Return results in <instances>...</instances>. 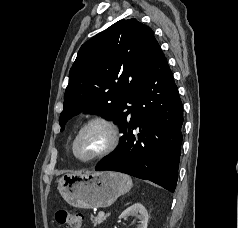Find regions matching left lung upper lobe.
Instances as JSON below:
<instances>
[{
    "instance_id": "left-lung-upper-lobe-1",
    "label": "left lung upper lobe",
    "mask_w": 238,
    "mask_h": 228,
    "mask_svg": "<svg viewBox=\"0 0 238 228\" xmlns=\"http://www.w3.org/2000/svg\"><path fill=\"white\" fill-rule=\"evenodd\" d=\"M159 50L151 28L136 19L120 20L85 42L70 69L61 131L82 111L115 120L121 127Z\"/></svg>"
}]
</instances>
